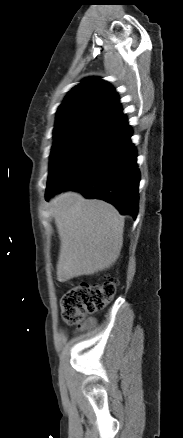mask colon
Here are the masks:
<instances>
[{
    "label": "colon",
    "instance_id": "5ec220e1",
    "mask_svg": "<svg viewBox=\"0 0 183 438\" xmlns=\"http://www.w3.org/2000/svg\"><path fill=\"white\" fill-rule=\"evenodd\" d=\"M117 282L110 278L103 283L81 282L68 289L61 300L62 317L66 323L79 324L88 313L105 307L115 296Z\"/></svg>",
    "mask_w": 183,
    "mask_h": 438
}]
</instances>
